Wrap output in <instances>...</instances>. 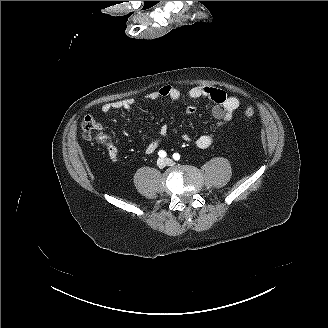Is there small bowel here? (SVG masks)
<instances>
[{
  "instance_id": "small-bowel-1",
  "label": "small bowel",
  "mask_w": 328,
  "mask_h": 328,
  "mask_svg": "<svg viewBox=\"0 0 328 328\" xmlns=\"http://www.w3.org/2000/svg\"><path fill=\"white\" fill-rule=\"evenodd\" d=\"M161 98H169L173 101L206 98L214 104L211 113L213 118L217 121L218 126H223L229 122L233 118L235 112L240 108V100L237 97L227 96V94L220 89L202 86L193 87L184 91L171 85H165L156 91L148 93L141 100L156 101ZM137 102L138 99L136 98H125L105 103L102 105L101 110L103 113L119 109L130 110ZM194 111V107L191 105L185 108L186 115H192ZM158 133L159 138L146 145L144 149L146 154H152L157 150L162 141L169 135V129L167 126L163 125L159 128ZM182 139L185 142H190L192 141V136L188 133H184L182 134ZM195 143L200 149H207L212 145L213 138L208 134H203L196 138ZM106 150L109 159L112 162H116L119 152L117 147L109 140H106Z\"/></svg>"
}]
</instances>
